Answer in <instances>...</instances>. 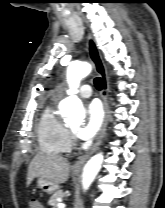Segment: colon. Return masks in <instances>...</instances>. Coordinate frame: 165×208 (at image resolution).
<instances>
[{"instance_id": "1", "label": "colon", "mask_w": 165, "mask_h": 208, "mask_svg": "<svg viewBox=\"0 0 165 208\" xmlns=\"http://www.w3.org/2000/svg\"><path fill=\"white\" fill-rule=\"evenodd\" d=\"M28 208H44L42 203L37 199H31L28 202Z\"/></svg>"}]
</instances>
